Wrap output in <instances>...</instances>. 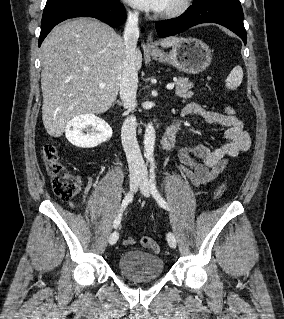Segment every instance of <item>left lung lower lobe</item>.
<instances>
[{
	"label": "left lung lower lobe",
	"instance_id": "obj_1",
	"mask_svg": "<svg viewBox=\"0 0 284 319\" xmlns=\"http://www.w3.org/2000/svg\"><path fill=\"white\" fill-rule=\"evenodd\" d=\"M243 10L239 0H202L195 2L180 17L158 21L156 30L160 37L181 33L201 23H217L235 34L246 44Z\"/></svg>",
	"mask_w": 284,
	"mask_h": 319
}]
</instances>
